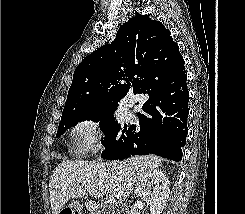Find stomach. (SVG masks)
<instances>
[{
    "instance_id": "obj_1",
    "label": "stomach",
    "mask_w": 245,
    "mask_h": 214,
    "mask_svg": "<svg viewBox=\"0 0 245 214\" xmlns=\"http://www.w3.org/2000/svg\"><path fill=\"white\" fill-rule=\"evenodd\" d=\"M81 205L79 203H73L70 207L72 214H81Z\"/></svg>"
}]
</instances>
